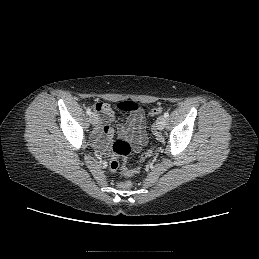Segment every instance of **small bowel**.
<instances>
[{
  "instance_id": "obj_1",
  "label": "small bowel",
  "mask_w": 259,
  "mask_h": 259,
  "mask_svg": "<svg viewBox=\"0 0 259 259\" xmlns=\"http://www.w3.org/2000/svg\"><path fill=\"white\" fill-rule=\"evenodd\" d=\"M93 108L99 113V124L94 133L93 141L99 150H106L114 136V130L110 124L114 121L115 114L106 103H97ZM118 136L129 141L134 151H139L146 143L145 117L139 108L130 111L126 122L118 126Z\"/></svg>"
}]
</instances>
